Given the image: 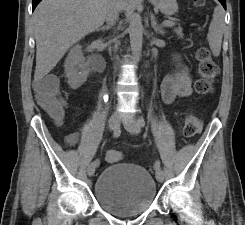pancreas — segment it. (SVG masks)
Segmentation results:
<instances>
[{
	"instance_id": "pancreas-1",
	"label": "pancreas",
	"mask_w": 245,
	"mask_h": 225,
	"mask_svg": "<svg viewBox=\"0 0 245 225\" xmlns=\"http://www.w3.org/2000/svg\"><path fill=\"white\" fill-rule=\"evenodd\" d=\"M175 25V24H174ZM174 32L178 35V36H182L183 33H182V28L181 27H178V28H175L174 29Z\"/></svg>"
}]
</instances>
